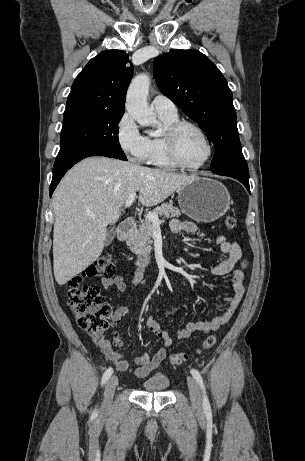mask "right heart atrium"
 <instances>
[{"label": "right heart atrium", "instance_id": "d8ad5b80", "mask_svg": "<svg viewBox=\"0 0 305 461\" xmlns=\"http://www.w3.org/2000/svg\"><path fill=\"white\" fill-rule=\"evenodd\" d=\"M116 138L121 150L130 160L135 162L142 161L146 139L128 112H125L117 123Z\"/></svg>", "mask_w": 305, "mask_h": 461}]
</instances>
